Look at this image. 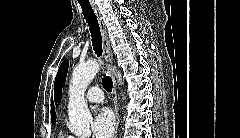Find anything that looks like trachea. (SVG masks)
Instances as JSON below:
<instances>
[{
  "instance_id": "trachea-1",
  "label": "trachea",
  "mask_w": 240,
  "mask_h": 138,
  "mask_svg": "<svg viewBox=\"0 0 240 138\" xmlns=\"http://www.w3.org/2000/svg\"><path fill=\"white\" fill-rule=\"evenodd\" d=\"M80 6L82 8L84 18L89 26L93 49L95 54L100 57L102 55V38L98 20L90 4H80ZM102 84L107 92L112 91L113 83L111 77L104 74Z\"/></svg>"
}]
</instances>
